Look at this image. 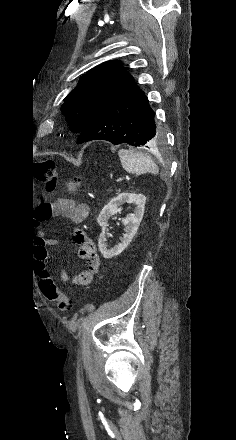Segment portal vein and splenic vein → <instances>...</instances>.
<instances>
[{"instance_id": "1", "label": "portal vein and splenic vein", "mask_w": 236, "mask_h": 440, "mask_svg": "<svg viewBox=\"0 0 236 440\" xmlns=\"http://www.w3.org/2000/svg\"><path fill=\"white\" fill-rule=\"evenodd\" d=\"M122 180H123V178L120 177V178H118L116 181H117V182H120V181H122Z\"/></svg>"}]
</instances>
